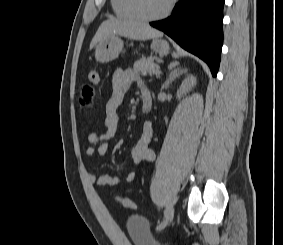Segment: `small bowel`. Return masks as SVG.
I'll return each mask as SVG.
<instances>
[{
	"label": "small bowel",
	"mask_w": 283,
	"mask_h": 245,
	"mask_svg": "<svg viewBox=\"0 0 283 245\" xmlns=\"http://www.w3.org/2000/svg\"><path fill=\"white\" fill-rule=\"evenodd\" d=\"M133 81L139 83L143 95L150 94V91L140 80L139 76L132 69H117L112 77V94L106 104V117L104 121L105 131L102 134L90 133L88 141L93 146L86 149V154L90 157H101L105 155L109 148V141L115 136L118 129V108L121 106L124 97ZM86 100L87 106L91 107L94 103L95 86L90 87L84 83L80 87V97ZM153 137V128L150 122H145L142 135L137 144L131 149L130 158L132 168L125 174L110 176L107 174L96 175L87 172V179L97 186H116L122 182L130 183L136 177L135 169L143 162L150 163L154 160L155 154L150 148Z\"/></svg>",
	"instance_id": "obj_1"
}]
</instances>
